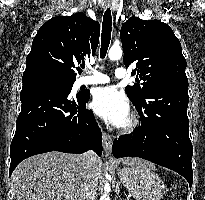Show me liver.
<instances>
[{
  "instance_id": "liver-1",
  "label": "liver",
  "mask_w": 205,
  "mask_h": 200,
  "mask_svg": "<svg viewBox=\"0 0 205 200\" xmlns=\"http://www.w3.org/2000/svg\"><path fill=\"white\" fill-rule=\"evenodd\" d=\"M125 165L146 164L139 158H122ZM100 161L95 173L100 176ZM81 155L57 151L34 155L21 162L11 175L14 200H81Z\"/></svg>"
}]
</instances>
